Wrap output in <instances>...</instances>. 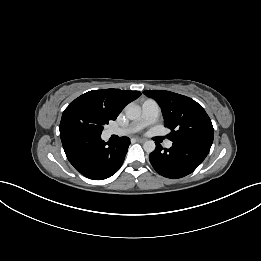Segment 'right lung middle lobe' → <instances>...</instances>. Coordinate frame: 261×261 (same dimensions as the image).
Returning <instances> with one entry per match:
<instances>
[{"label": "right lung middle lobe", "mask_w": 261, "mask_h": 261, "mask_svg": "<svg viewBox=\"0 0 261 261\" xmlns=\"http://www.w3.org/2000/svg\"><path fill=\"white\" fill-rule=\"evenodd\" d=\"M109 118L96 107L86 102H71L64 110L60 133L76 132L100 136Z\"/></svg>", "instance_id": "obj_1"}]
</instances>
